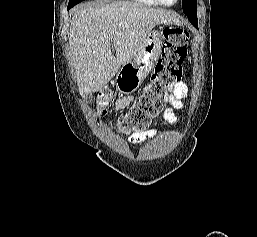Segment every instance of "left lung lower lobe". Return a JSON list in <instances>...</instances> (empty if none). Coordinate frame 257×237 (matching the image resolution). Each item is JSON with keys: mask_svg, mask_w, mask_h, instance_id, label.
I'll list each match as a JSON object with an SVG mask.
<instances>
[{"mask_svg": "<svg viewBox=\"0 0 257 237\" xmlns=\"http://www.w3.org/2000/svg\"><path fill=\"white\" fill-rule=\"evenodd\" d=\"M191 24H192L193 26H195L196 28H198V21H197V22H191Z\"/></svg>", "mask_w": 257, "mask_h": 237, "instance_id": "obj_1", "label": "left lung lower lobe"}]
</instances>
